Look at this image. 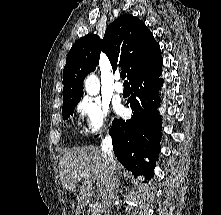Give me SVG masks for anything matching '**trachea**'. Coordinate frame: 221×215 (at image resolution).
<instances>
[{
    "label": "trachea",
    "mask_w": 221,
    "mask_h": 215,
    "mask_svg": "<svg viewBox=\"0 0 221 215\" xmlns=\"http://www.w3.org/2000/svg\"><path fill=\"white\" fill-rule=\"evenodd\" d=\"M120 77H121L122 79H125V78H126V72L122 71V72L120 73ZM125 83H128V82L125 81Z\"/></svg>",
    "instance_id": "3493384b"
}]
</instances>
